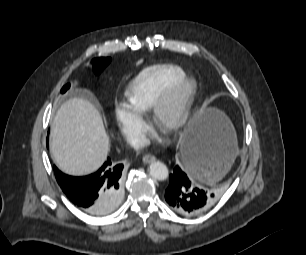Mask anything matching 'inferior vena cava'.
Returning <instances> with one entry per match:
<instances>
[{
	"instance_id": "inferior-vena-cava-1",
	"label": "inferior vena cava",
	"mask_w": 306,
	"mask_h": 255,
	"mask_svg": "<svg viewBox=\"0 0 306 255\" xmlns=\"http://www.w3.org/2000/svg\"><path fill=\"white\" fill-rule=\"evenodd\" d=\"M127 142L135 149L142 148L148 144L147 138L141 133L130 134L127 138Z\"/></svg>"
}]
</instances>
